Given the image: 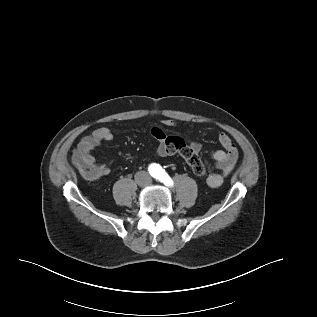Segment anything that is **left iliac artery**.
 Returning a JSON list of instances; mask_svg holds the SVG:
<instances>
[{
    "instance_id": "obj_1",
    "label": "left iliac artery",
    "mask_w": 317,
    "mask_h": 317,
    "mask_svg": "<svg viewBox=\"0 0 317 317\" xmlns=\"http://www.w3.org/2000/svg\"><path fill=\"white\" fill-rule=\"evenodd\" d=\"M157 179L169 187H172L174 184L171 177L164 170H160L159 175L157 176Z\"/></svg>"
}]
</instances>
